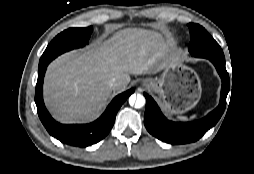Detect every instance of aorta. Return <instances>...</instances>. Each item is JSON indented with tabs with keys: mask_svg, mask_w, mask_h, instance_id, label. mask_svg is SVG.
Returning a JSON list of instances; mask_svg holds the SVG:
<instances>
[{
	"mask_svg": "<svg viewBox=\"0 0 254 174\" xmlns=\"http://www.w3.org/2000/svg\"><path fill=\"white\" fill-rule=\"evenodd\" d=\"M145 97L141 94H133L129 98L130 105L134 106L135 108H141L145 105Z\"/></svg>",
	"mask_w": 254,
	"mask_h": 174,
	"instance_id": "obj_1",
	"label": "aorta"
}]
</instances>
